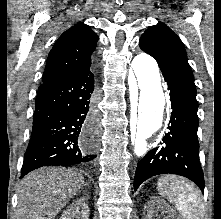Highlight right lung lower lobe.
Wrapping results in <instances>:
<instances>
[{"instance_id": "obj_1", "label": "right lung lower lobe", "mask_w": 221, "mask_h": 219, "mask_svg": "<svg viewBox=\"0 0 221 219\" xmlns=\"http://www.w3.org/2000/svg\"><path fill=\"white\" fill-rule=\"evenodd\" d=\"M90 66L39 86L33 128L21 169V177L43 166H67L93 160L94 74Z\"/></svg>"}]
</instances>
